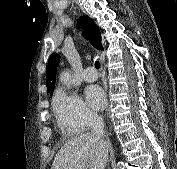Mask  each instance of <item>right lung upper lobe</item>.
<instances>
[{"label":"right lung upper lobe","instance_id":"right-lung-upper-lobe-1","mask_svg":"<svg viewBox=\"0 0 177 169\" xmlns=\"http://www.w3.org/2000/svg\"><path fill=\"white\" fill-rule=\"evenodd\" d=\"M81 20L85 22L84 35L97 49H103L101 44V33L97 25L88 16H82ZM60 58L58 54H52L49 58L48 68L46 71V85L48 90H52L56 80V69Z\"/></svg>","mask_w":177,"mask_h":169}]
</instances>
